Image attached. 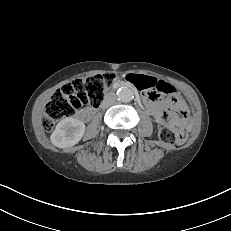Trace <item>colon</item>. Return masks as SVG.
Masks as SVG:
<instances>
[{
    "instance_id": "5ec220e1",
    "label": "colon",
    "mask_w": 231,
    "mask_h": 231,
    "mask_svg": "<svg viewBox=\"0 0 231 231\" xmlns=\"http://www.w3.org/2000/svg\"><path fill=\"white\" fill-rule=\"evenodd\" d=\"M116 75L113 73L95 74L86 78H78L62 86L46 105L42 125L47 131L53 129L55 124L68 117L74 116L83 107H98L105 92L113 85ZM137 80L140 90L147 89ZM175 93L174 87L160 81L156 87L150 90V94L169 95ZM187 110L184 106H178L174 111L175 121L164 124L159 129V137L165 143L183 142L187 133L179 126L187 118Z\"/></svg>"
}]
</instances>
